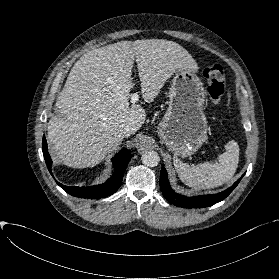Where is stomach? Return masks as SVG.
<instances>
[{
    "mask_svg": "<svg viewBox=\"0 0 279 279\" xmlns=\"http://www.w3.org/2000/svg\"><path fill=\"white\" fill-rule=\"evenodd\" d=\"M205 99L204 85L194 72H175L169 91V106L157 127L161 141L175 156H191L206 141Z\"/></svg>",
    "mask_w": 279,
    "mask_h": 279,
    "instance_id": "0dacf381",
    "label": "stomach"
}]
</instances>
